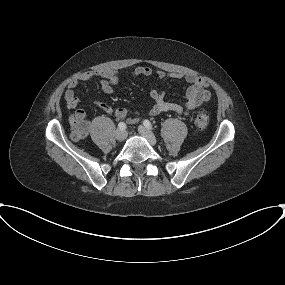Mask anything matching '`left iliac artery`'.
I'll list each match as a JSON object with an SVG mask.
<instances>
[{"instance_id":"left-iliac-artery-1","label":"left iliac artery","mask_w":285,"mask_h":285,"mask_svg":"<svg viewBox=\"0 0 285 285\" xmlns=\"http://www.w3.org/2000/svg\"><path fill=\"white\" fill-rule=\"evenodd\" d=\"M143 124H144V126H145L147 129H150V130L153 129V128H152V124H151V122H150L149 120H144V121H143Z\"/></svg>"}]
</instances>
